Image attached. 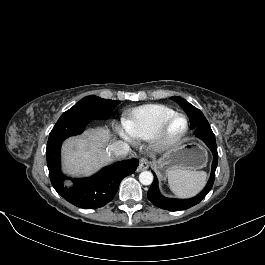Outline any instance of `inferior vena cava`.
I'll return each instance as SVG.
<instances>
[{
	"instance_id": "1",
	"label": "inferior vena cava",
	"mask_w": 265,
	"mask_h": 265,
	"mask_svg": "<svg viewBox=\"0 0 265 265\" xmlns=\"http://www.w3.org/2000/svg\"><path fill=\"white\" fill-rule=\"evenodd\" d=\"M108 151L111 157L123 159L128 155L130 151V146L126 142L116 141L113 142L111 145H108Z\"/></svg>"
}]
</instances>
